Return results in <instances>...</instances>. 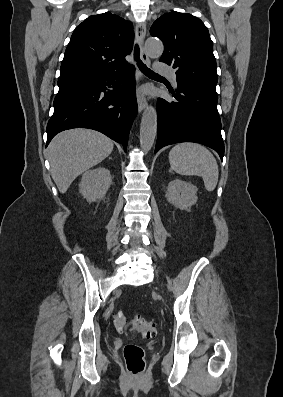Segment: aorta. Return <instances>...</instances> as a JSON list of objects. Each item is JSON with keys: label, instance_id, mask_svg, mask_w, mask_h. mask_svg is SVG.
<instances>
[{"label": "aorta", "instance_id": "obj_1", "mask_svg": "<svg viewBox=\"0 0 283 397\" xmlns=\"http://www.w3.org/2000/svg\"><path fill=\"white\" fill-rule=\"evenodd\" d=\"M145 49L150 57L156 58L163 52V44L159 39L149 38ZM157 134V113L154 107L148 106L142 114L140 124V146L142 150H151Z\"/></svg>", "mask_w": 283, "mask_h": 397}]
</instances>
